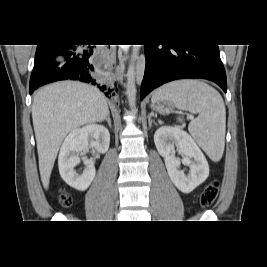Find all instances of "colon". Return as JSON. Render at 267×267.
I'll return each mask as SVG.
<instances>
[{"label": "colon", "instance_id": "obj_1", "mask_svg": "<svg viewBox=\"0 0 267 267\" xmlns=\"http://www.w3.org/2000/svg\"><path fill=\"white\" fill-rule=\"evenodd\" d=\"M219 193V183L215 180L210 182L203 190L200 196V205L203 208L210 207L216 200ZM59 202L62 206L68 207L72 204V197L66 193L62 192L59 196Z\"/></svg>", "mask_w": 267, "mask_h": 267}]
</instances>
